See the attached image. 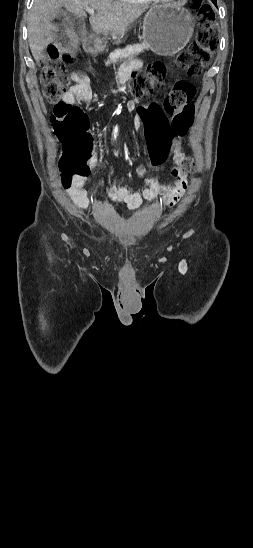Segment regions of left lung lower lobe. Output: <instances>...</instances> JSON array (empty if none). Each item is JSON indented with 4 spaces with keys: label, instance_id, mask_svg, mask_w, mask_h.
Masks as SVG:
<instances>
[{
    "label": "left lung lower lobe",
    "instance_id": "left-lung-lower-lobe-1",
    "mask_svg": "<svg viewBox=\"0 0 253 548\" xmlns=\"http://www.w3.org/2000/svg\"><path fill=\"white\" fill-rule=\"evenodd\" d=\"M216 5V0H211Z\"/></svg>",
    "mask_w": 253,
    "mask_h": 548
}]
</instances>
